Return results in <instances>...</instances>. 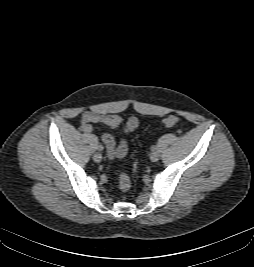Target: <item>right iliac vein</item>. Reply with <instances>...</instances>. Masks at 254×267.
Returning a JSON list of instances; mask_svg holds the SVG:
<instances>
[{"instance_id": "1", "label": "right iliac vein", "mask_w": 254, "mask_h": 267, "mask_svg": "<svg viewBox=\"0 0 254 267\" xmlns=\"http://www.w3.org/2000/svg\"><path fill=\"white\" fill-rule=\"evenodd\" d=\"M95 162L99 163L102 160V155L100 153H96L93 156Z\"/></svg>"}]
</instances>
